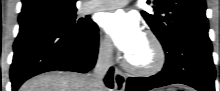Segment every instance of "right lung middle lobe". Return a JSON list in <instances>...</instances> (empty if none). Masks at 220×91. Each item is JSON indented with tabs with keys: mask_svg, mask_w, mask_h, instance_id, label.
<instances>
[{
	"mask_svg": "<svg viewBox=\"0 0 220 91\" xmlns=\"http://www.w3.org/2000/svg\"><path fill=\"white\" fill-rule=\"evenodd\" d=\"M75 12L76 8H73L69 11L46 15L36 21L49 22L73 33L86 32L94 26V22L90 20H87L85 22L83 20L77 21Z\"/></svg>",
	"mask_w": 220,
	"mask_h": 91,
	"instance_id": "dd1d6c3e",
	"label": "right lung middle lobe"
}]
</instances>
